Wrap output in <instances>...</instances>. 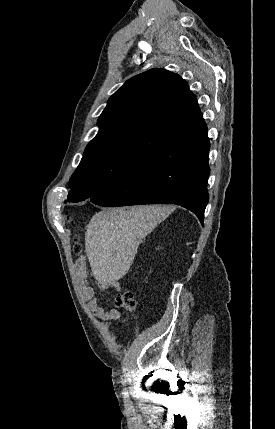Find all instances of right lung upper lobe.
<instances>
[{
  "label": "right lung upper lobe",
  "instance_id": "right-lung-upper-lobe-1",
  "mask_svg": "<svg viewBox=\"0 0 275 429\" xmlns=\"http://www.w3.org/2000/svg\"><path fill=\"white\" fill-rule=\"evenodd\" d=\"M98 125L100 130L87 145L84 157L112 147L151 156L207 128L186 81L157 68L126 81L110 97Z\"/></svg>",
  "mask_w": 275,
  "mask_h": 429
}]
</instances>
